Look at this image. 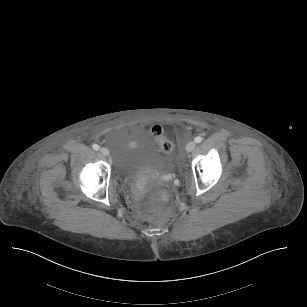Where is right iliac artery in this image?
Masks as SVG:
<instances>
[{
    "label": "right iliac artery",
    "instance_id": "1",
    "mask_svg": "<svg viewBox=\"0 0 307 307\" xmlns=\"http://www.w3.org/2000/svg\"><path fill=\"white\" fill-rule=\"evenodd\" d=\"M92 148H93L94 150H99V145L93 144V145H92Z\"/></svg>",
    "mask_w": 307,
    "mask_h": 307
}]
</instances>
